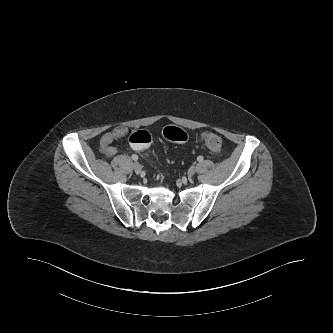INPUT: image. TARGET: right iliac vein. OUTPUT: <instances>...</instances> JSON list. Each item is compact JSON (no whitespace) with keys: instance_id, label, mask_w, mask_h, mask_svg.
<instances>
[{"instance_id":"1","label":"right iliac vein","mask_w":333,"mask_h":333,"mask_svg":"<svg viewBox=\"0 0 333 333\" xmlns=\"http://www.w3.org/2000/svg\"><path fill=\"white\" fill-rule=\"evenodd\" d=\"M133 169H134V171H135L136 173H140L142 167H141V165H140L138 162H135V163L133 164Z\"/></svg>"}]
</instances>
